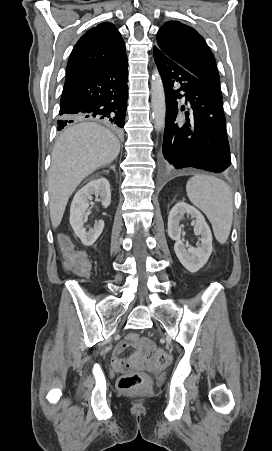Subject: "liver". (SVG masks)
<instances>
[{
	"label": "liver",
	"instance_id": "liver-1",
	"mask_svg": "<svg viewBox=\"0 0 272 451\" xmlns=\"http://www.w3.org/2000/svg\"><path fill=\"white\" fill-rule=\"evenodd\" d=\"M119 152L118 138L95 122H85L84 116H78L74 126L62 132L53 148L48 178L53 227L59 226L67 202L82 180L111 164Z\"/></svg>",
	"mask_w": 272,
	"mask_h": 451
}]
</instances>
